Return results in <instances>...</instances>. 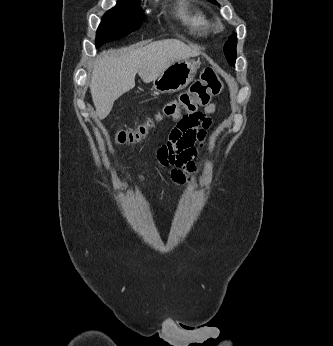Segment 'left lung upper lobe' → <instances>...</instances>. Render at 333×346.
<instances>
[{
    "instance_id": "obj_1",
    "label": "left lung upper lobe",
    "mask_w": 333,
    "mask_h": 346,
    "mask_svg": "<svg viewBox=\"0 0 333 346\" xmlns=\"http://www.w3.org/2000/svg\"><path fill=\"white\" fill-rule=\"evenodd\" d=\"M210 2L217 4L216 0H209ZM236 45H237V37L236 33L232 34L229 40L224 45V53L227 61L231 66H235L236 60Z\"/></svg>"
}]
</instances>
